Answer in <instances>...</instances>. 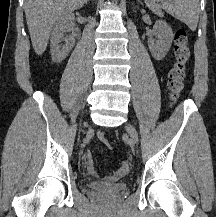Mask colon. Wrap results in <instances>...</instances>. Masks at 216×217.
<instances>
[{"label": "colon", "instance_id": "obj_1", "mask_svg": "<svg viewBox=\"0 0 216 217\" xmlns=\"http://www.w3.org/2000/svg\"><path fill=\"white\" fill-rule=\"evenodd\" d=\"M174 44L175 64L169 72L168 79V89L172 101H176L179 98L187 77V63L190 57V49L189 38L185 29L179 28L176 30ZM97 138L103 146L110 147V140L104 132H99ZM123 172L124 169L120 168L118 174H122Z\"/></svg>", "mask_w": 216, "mask_h": 217}]
</instances>
